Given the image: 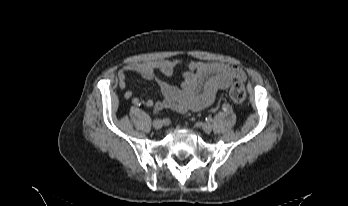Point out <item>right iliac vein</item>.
Wrapping results in <instances>:
<instances>
[{
  "label": "right iliac vein",
  "instance_id": "63e3f726",
  "mask_svg": "<svg viewBox=\"0 0 348 206\" xmlns=\"http://www.w3.org/2000/svg\"><path fill=\"white\" fill-rule=\"evenodd\" d=\"M152 125L155 129H161L163 127V122L159 119H156L153 121Z\"/></svg>",
  "mask_w": 348,
  "mask_h": 206
}]
</instances>
